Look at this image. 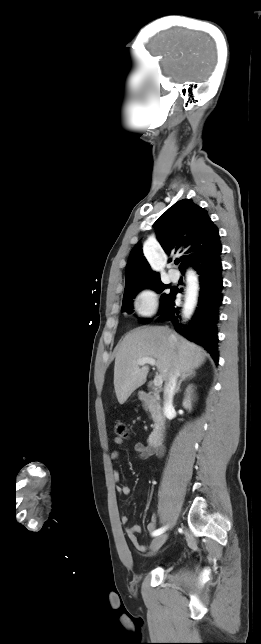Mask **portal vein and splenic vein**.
<instances>
[{
    "label": "portal vein and splenic vein",
    "instance_id": "portal-vein-and-splenic-vein-1",
    "mask_svg": "<svg viewBox=\"0 0 261 644\" xmlns=\"http://www.w3.org/2000/svg\"><path fill=\"white\" fill-rule=\"evenodd\" d=\"M137 364L138 365L150 364L152 366H155L156 365V360L154 358H151V357H144V358L138 359ZM162 383H163L162 376L160 374H157L155 376V378H154V381H153L154 386L155 387H160L162 385Z\"/></svg>",
    "mask_w": 261,
    "mask_h": 644
}]
</instances>
